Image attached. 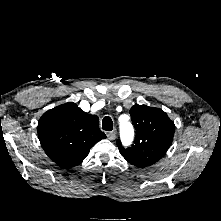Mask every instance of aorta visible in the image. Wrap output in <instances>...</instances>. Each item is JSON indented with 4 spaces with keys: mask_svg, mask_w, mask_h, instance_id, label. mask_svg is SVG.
I'll list each match as a JSON object with an SVG mask.
<instances>
[{
    "mask_svg": "<svg viewBox=\"0 0 221 221\" xmlns=\"http://www.w3.org/2000/svg\"><path fill=\"white\" fill-rule=\"evenodd\" d=\"M119 127H120L121 140L123 144L130 145L134 136V130L132 124L128 121L126 122L121 121Z\"/></svg>",
    "mask_w": 221,
    "mask_h": 221,
    "instance_id": "762f6f07",
    "label": "aorta"
}]
</instances>
